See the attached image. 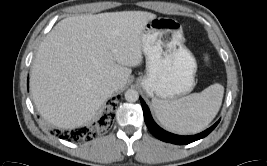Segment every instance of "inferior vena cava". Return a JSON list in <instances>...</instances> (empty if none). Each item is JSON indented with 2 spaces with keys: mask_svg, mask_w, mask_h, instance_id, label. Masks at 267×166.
Instances as JSON below:
<instances>
[{
  "mask_svg": "<svg viewBox=\"0 0 267 166\" xmlns=\"http://www.w3.org/2000/svg\"><path fill=\"white\" fill-rule=\"evenodd\" d=\"M118 90V84L115 82H110L106 84V91L109 93H114L115 91Z\"/></svg>",
  "mask_w": 267,
  "mask_h": 166,
  "instance_id": "obj_1",
  "label": "inferior vena cava"
}]
</instances>
